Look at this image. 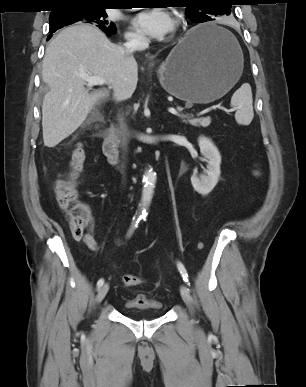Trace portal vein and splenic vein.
I'll return each mask as SVG.
<instances>
[{"instance_id":"18ae733b","label":"portal vein and splenic vein","mask_w":306,"mask_h":387,"mask_svg":"<svg viewBox=\"0 0 306 387\" xmlns=\"http://www.w3.org/2000/svg\"><path fill=\"white\" fill-rule=\"evenodd\" d=\"M86 81L88 87H92L94 85H103L105 83V80L101 77H87ZM168 111L173 115L179 116L178 112L174 108H169ZM208 120V118H204L203 122L206 123Z\"/></svg>"}]
</instances>
